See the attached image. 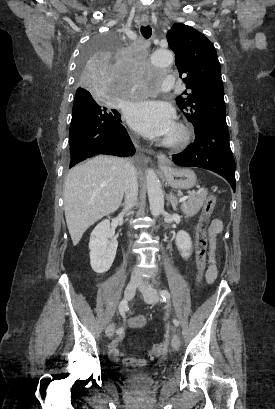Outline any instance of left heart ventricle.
I'll return each instance as SVG.
<instances>
[{"label":"left heart ventricle","instance_id":"b2bd125f","mask_svg":"<svg viewBox=\"0 0 275 409\" xmlns=\"http://www.w3.org/2000/svg\"><path fill=\"white\" fill-rule=\"evenodd\" d=\"M173 133V129H172V131L168 134V135H166V136H169V135H171Z\"/></svg>","mask_w":275,"mask_h":409}]
</instances>
